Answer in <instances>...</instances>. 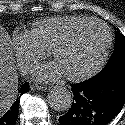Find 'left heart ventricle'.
Instances as JSON below:
<instances>
[{"label": "left heart ventricle", "instance_id": "1", "mask_svg": "<svg viewBox=\"0 0 125 125\" xmlns=\"http://www.w3.org/2000/svg\"><path fill=\"white\" fill-rule=\"evenodd\" d=\"M106 39V31L102 26L98 24L85 26L58 50L55 60L66 75L82 73L98 61Z\"/></svg>", "mask_w": 125, "mask_h": 125}]
</instances>
